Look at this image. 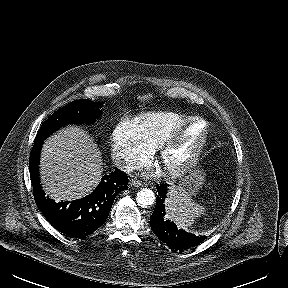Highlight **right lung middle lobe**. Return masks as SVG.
<instances>
[{"mask_svg": "<svg viewBox=\"0 0 288 288\" xmlns=\"http://www.w3.org/2000/svg\"><path fill=\"white\" fill-rule=\"evenodd\" d=\"M103 102H93L87 99L73 101L52 114L41 126L35 142L43 141L50 134L64 125L71 123H91L100 116L99 110Z\"/></svg>", "mask_w": 288, "mask_h": 288, "instance_id": "right-lung-middle-lobe-1", "label": "right lung middle lobe"}]
</instances>
